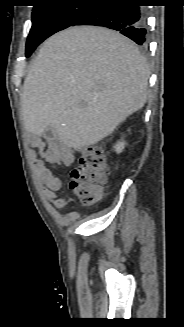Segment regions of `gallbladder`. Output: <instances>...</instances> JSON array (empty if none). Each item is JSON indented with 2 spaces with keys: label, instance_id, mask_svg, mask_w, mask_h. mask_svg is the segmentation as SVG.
I'll use <instances>...</instances> for the list:
<instances>
[{
  "label": "gallbladder",
  "instance_id": "obj_1",
  "mask_svg": "<svg viewBox=\"0 0 184 327\" xmlns=\"http://www.w3.org/2000/svg\"><path fill=\"white\" fill-rule=\"evenodd\" d=\"M47 133H48L49 135H51L53 132H52L51 129H49V130L47 131Z\"/></svg>",
  "mask_w": 184,
  "mask_h": 327
}]
</instances>
